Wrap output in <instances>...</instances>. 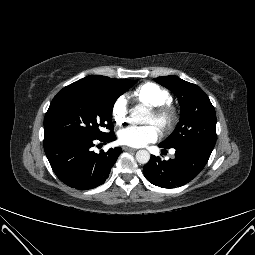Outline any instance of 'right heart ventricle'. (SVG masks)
Wrapping results in <instances>:
<instances>
[{
	"instance_id": "1",
	"label": "right heart ventricle",
	"mask_w": 255,
	"mask_h": 255,
	"mask_svg": "<svg viewBox=\"0 0 255 255\" xmlns=\"http://www.w3.org/2000/svg\"><path fill=\"white\" fill-rule=\"evenodd\" d=\"M131 97L147 106L168 103L172 100V96L168 90L153 82H146L136 87L131 92Z\"/></svg>"
}]
</instances>
